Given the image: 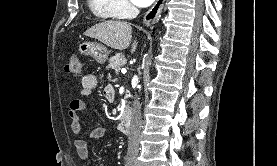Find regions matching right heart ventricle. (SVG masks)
Here are the masks:
<instances>
[{"mask_svg": "<svg viewBox=\"0 0 277 166\" xmlns=\"http://www.w3.org/2000/svg\"><path fill=\"white\" fill-rule=\"evenodd\" d=\"M87 4L91 13L100 20H112L119 17L112 0H87Z\"/></svg>", "mask_w": 277, "mask_h": 166, "instance_id": "e07e8e85", "label": "right heart ventricle"}]
</instances>
